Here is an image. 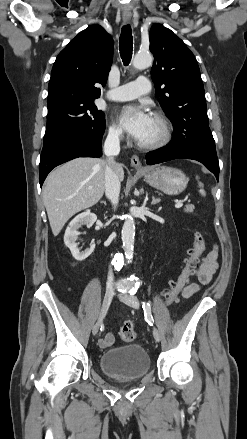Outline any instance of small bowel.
Returning a JSON list of instances; mask_svg holds the SVG:
<instances>
[{
	"mask_svg": "<svg viewBox=\"0 0 247 439\" xmlns=\"http://www.w3.org/2000/svg\"><path fill=\"white\" fill-rule=\"evenodd\" d=\"M218 268V249L215 246L210 252H208L204 257L201 258L197 269L195 270L193 276L197 278L199 283H191L183 289L182 295L185 298L190 297L196 293L200 285H206L210 283L214 273ZM114 343V336L111 333L106 334L102 339L99 340V345L102 348L111 346Z\"/></svg>",
	"mask_w": 247,
	"mask_h": 439,
	"instance_id": "small-bowel-1",
	"label": "small bowel"
}]
</instances>
